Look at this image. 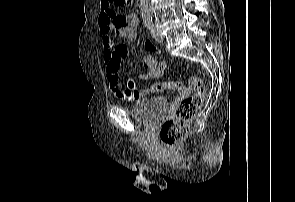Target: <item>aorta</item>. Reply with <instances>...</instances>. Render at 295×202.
Returning a JSON list of instances; mask_svg holds the SVG:
<instances>
[{
	"label": "aorta",
	"mask_w": 295,
	"mask_h": 202,
	"mask_svg": "<svg viewBox=\"0 0 295 202\" xmlns=\"http://www.w3.org/2000/svg\"><path fill=\"white\" fill-rule=\"evenodd\" d=\"M141 11L143 19L151 18V5L150 0H140Z\"/></svg>",
	"instance_id": "1"
}]
</instances>
